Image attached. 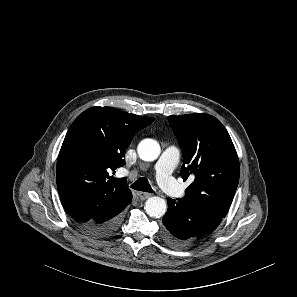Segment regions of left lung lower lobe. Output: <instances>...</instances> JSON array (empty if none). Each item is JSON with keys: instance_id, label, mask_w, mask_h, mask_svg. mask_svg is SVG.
<instances>
[{"instance_id": "0a47b994", "label": "left lung lower lobe", "mask_w": 297, "mask_h": 297, "mask_svg": "<svg viewBox=\"0 0 297 297\" xmlns=\"http://www.w3.org/2000/svg\"><path fill=\"white\" fill-rule=\"evenodd\" d=\"M168 211L162 221V237L166 243L177 248H187L196 244L200 239L207 234H194L191 231L189 218L193 217V212L187 207V204L177 199L178 201L168 198ZM218 219L213 224L208 234L212 232L221 222Z\"/></svg>"}]
</instances>
